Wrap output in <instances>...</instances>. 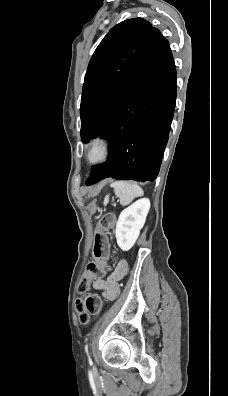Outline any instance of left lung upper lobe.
Here are the masks:
<instances>
[{
  "label": "left lung upper lobe",
  "instance_id": "5c2ea615",
  "mask_svg": "<svg viewBox=\"0 0 228 396\" xmlns=\"http://www.w3.org/2000/svg\"><path fill=\"white\" fill-rule=\"evenodd\" d=\"M160 35L146 20L133 18L118 23L103 38L89 62L83 84L80 107L83 141L101 135Z\"/></svg>",
  "mask_w": 228,
  "mask_h": 396
}]
</instances>
